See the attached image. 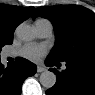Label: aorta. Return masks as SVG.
Masks as SVG:
<instances>
[{
    "label": "aorta",
    "mask_w": 95,
    "mask_h": 95,
    "mask_svg": "<svg viewBox=\"0 0 95 95\" xmlns=\"http://www.w3.org/2000/svg\"><path fill=\"white\" fill-rule=\"evenodd\" d=\"M16 35L23 41H31L35 38V31L30 25L21 24L16 28ZM39 81L43 87L50 89L56 84V75L46 70L41 73Z\"/></svg>",
    "instance_id": "1"
}]
</instances>
